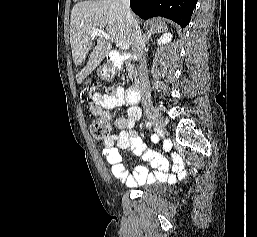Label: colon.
Masks as SVG:
<instances>
[{
  "mask_svg": "<svg viewBox=\"0 0 257 237\" xmlns=\"http://www.w3.org/2000/svg\"><path fill=\"white\" fill-rule=\"evenodd\" d=\"M90 130L95 140L107 141L110 136L111 127L105 120L93 119L90 122Z\"/></svg>",
  "mask_w": 257,
  "mask_h": 237,
  "instance_id": "5ec220e1",
  "label": "colon"
}]
</instances>
